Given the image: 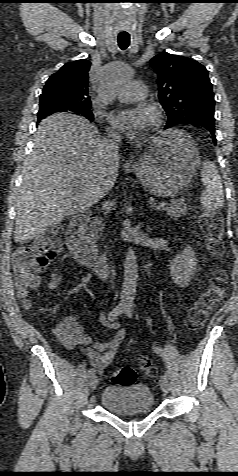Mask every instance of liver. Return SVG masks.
I'll list each match as a JSON object with an SVG mask.
<instances>
[{
  "instance_id": "obj_1",
  "label": "liver",
  "mask_w": 238,
  "mask_h": 476,
  "mask_svg": "<svg viewBox=\"0 0 238 476\" xmlns=\"http://www.w3.org/2000/svg\"><path fill=\"white\" fill-rule=\"evenodd\" d=\"M103 140L84 117L58 113L40 122L18 190L16 242L87 211L111 190L119 160L106 157Z\"/></svg>"
}]
</instances>
